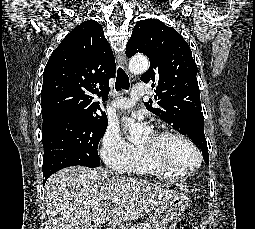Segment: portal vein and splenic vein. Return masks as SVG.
<instances>
[{
    "label": "portal vein and splenic vein",
    "instance_id": "18ae733b",
    "mask_svg": "<svg viewBox=\"0 0 255 229\" xmlns=\"http://www.w3.org/2000/svg\"><path fill=\"white\" fill-rule=\"evenodd\" d=\"M117 201V198H114L113 200H112V202H116Z\"/></svg>",
    "mask_w": 255,
    "mask_h": 229
}]
</instances>
